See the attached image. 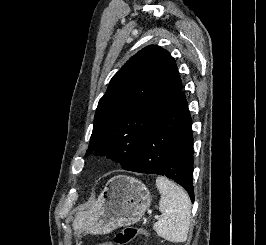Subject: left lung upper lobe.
<instances>
[{
    "instance_id": "1",
    "label": "left lung upper lobe",
    "mask_w": 266,
    "mask_h": 245,
    "mask_svg": "<svg viewBox=\"0 0 266 245\" xmlns=\"http://www.w3.org/2000/svg\"><path fill=\"white\" fill-rule=\"evenodd\" d=\"M182 88L171 55L150 45L131 57L100 99L86 157L107 155L126 169L141 138Z\"/></svg>"
}]
</instances>
